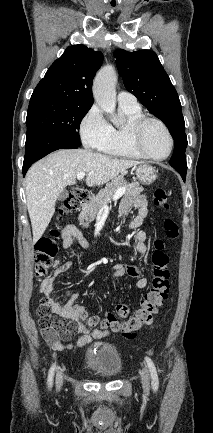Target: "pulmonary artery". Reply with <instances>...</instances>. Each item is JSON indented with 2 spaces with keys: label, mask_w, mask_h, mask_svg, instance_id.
Returning <instances> with one entry per match:
<instances>
[{
  "label": "pulmonary artery",
  "mask_w": 213,
  "mask_h": 433,
  "mask_svg": "<svg viewBox=\"0 0 213 433\" xmlns=\"http://www.w3.org/2000/svg\"><path fill=\"white\" fill-rule=\"evenodd\" d=\"M119 105L127 107H139L137 98L128 91H120L117 95Z\"/></svg>",
  "instance_id": "e3ab8cb5"
}]
</instances>
